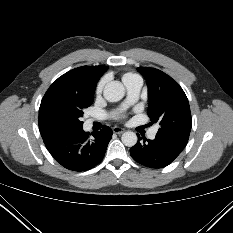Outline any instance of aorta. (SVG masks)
Segmentation results:
<instances>
[{
    "instance_id": "obj_1",
    "label": "aorta",
    "mask_w": 233,
    "mask_h": 233,
    "mask_svg": "<svg viewBox=\"0 0 233 233\" xmlns=\"http://www.w3.org/2000/svg\"><path fill=\"white\" fill-rule=\"evenodd\" d=\"M125 95V88L122 83L112 81L106 84L103 96L109 102L120 101ZM122 142L125 146L132 147L137 143V135L132 131H127L122 134Z\"/></svg>"
}]
</instances>
